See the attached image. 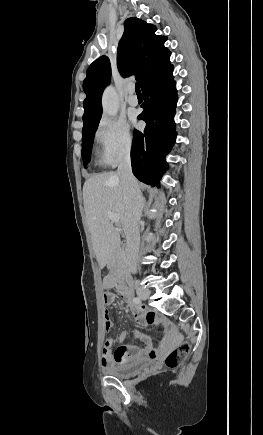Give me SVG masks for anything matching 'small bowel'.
<instances>
[{"instance_id": "1", "label": "small bowel", "mask_w": 263, "mask_h": 435, "mask_svg": "<svg viewBox=\"0 0 263 435\" xmlns=\"http://www.w3.org/2000/svg\"><path fill=\"white\" fill-rule=\"evenodd\" d=\"M117 285L115 278L112 275L105 276L103 280V287L109 295L107 300H104L106 305H110L114 302L115 295L111 292V290ZM133 316L135 321L142 327H146L148 325L154 324L159 321V317L151 311H144L138 306H133ZM105 318V328L110 330L112 327V320L109 315V312L105 310L104 313ZM135 336L139 338L143 343L144 347L140 348L138 346H128L122 345L118 347L115 352L112 350H104L102 351V364L104 367H109L113 364H126L137 362L143 358H149L156 360L160 357L161 353L166 350L168 347L174 345L177 342V337L173 333H169L164 336L158 348L153 346L152 341L146 337L141 332H135ZM128 338V334L126 331H122L118 340L121 343H124Z\"/></svg>"}]
</instances>
